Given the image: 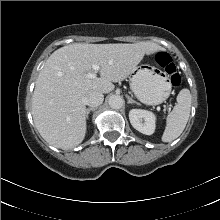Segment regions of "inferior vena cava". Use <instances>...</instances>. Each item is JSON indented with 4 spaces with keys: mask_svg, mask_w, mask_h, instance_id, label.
I'll return each mask as SVG.
<instances>
[{
    "mask_svg": "<svg viewBox=\"0 0 220 220\" xmlns=\"http://www.w3.org/2000/svg\"><path fill=\"white\" fill-rule=\"evenodd\" d=\"M104 96L101 92L91 90L86 93L85 104L90 107H97L103 103Z\"/></svg>",
    "mask_w": 220,
    "mask_h": 220,
    "instance_id": "1",
    "label": "inferior vena cava"
}]
</instances>
